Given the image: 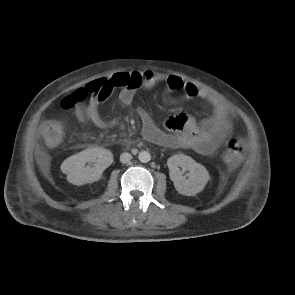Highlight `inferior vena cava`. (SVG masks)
<instances>
[{"mask_svg":"<svg viewBox=\"0 0 295 295\" xmlns=\"http://www.w3.org/2000/svg\"><path fill=\"white\" fill-rule=\"evenodd\" d=\"M132 159V155L128 152H124L120 155V161L122 163H127Z\"/></svg>","mask_w":295,"mask_h":295,"instance_id":"inferior-vena-cava-1","label":"inferior vena cava"}]
</instances>
